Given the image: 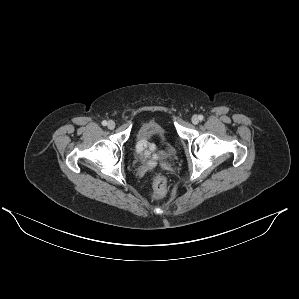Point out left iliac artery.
Returning <instances> with one entry per match:
<instances>
[{
    "instance_id": "44dca946",
    "label": "left iliac artery",
    "mask_w": 299,
    "mask_h": 299,
    "mask_svg": "<svg viewBox=\"0 0 299 299\" xmlns=\"http://www.w3.org/2000/svg\"><path fill=\"white\" fill-rule=\"evenodd\" d=\"M198 118H199L200 121H202L204 119V116L203 115H199Z\"/></svg>"
}]
</instances>
